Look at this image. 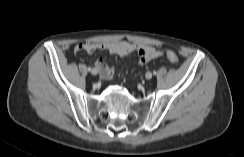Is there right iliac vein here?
<instances>
[{"mask_svg": "<svg viewBox=\"0 0 244 157\" xmlns=\"http://www.w3.org/2000/svg\"><path fill=\"white\" fill-rule=\"evenodd\" d=\"M97 70L96 69H93L92 71H91V74L93 75V76H96L97 75Z\"/></svg>", "mask_w": 244, "mask_h": 157, "instance_id": "1", "label": "right iliac vein"}]
</instances>
